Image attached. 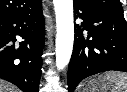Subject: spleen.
<instances>
[{"label":"spleen","instance_id":"3e777b00","mask_svg":"<svg viewBox=\"0 0 127 92\" xmlns=\"http://www.w3.org/2000/svg\"><path fill=\"white\" fill-rule=\"evenodd\" d=\"M101 78L112 84L110 92H127V73L112 71Z\"/></svg>","mask_w":127,"mask_h":92}]
</instances>
